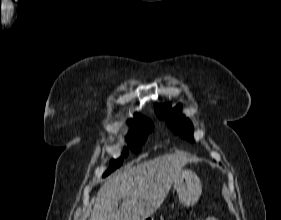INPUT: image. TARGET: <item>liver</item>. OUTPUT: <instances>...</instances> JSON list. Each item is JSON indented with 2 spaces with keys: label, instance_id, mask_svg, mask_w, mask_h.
I'll return each instance as SVG.
<instances>
[{
  "label": "liver",
  "instance_id": "obj_1",
  "mask_svg": "<svg viewBox=\"0 0 281 220\" xmlns=\"http://www.w3.org/2000/svg\"><path fill=\"white\" fill-rule=\"evenodd\" d=\"M191 160L176 152L119 172L100 187L89 220H146L162 205L174 179Z\"/></svg>",
  "mask_w": 281,
  "mask_h": 220
}]
</instances>
